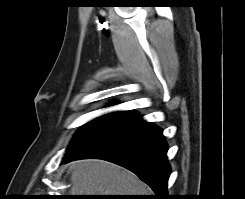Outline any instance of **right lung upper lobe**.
Returning <instances> with one entry per match:
<instances>
[{
  "instance_id": "obj_1",
  "label": "right lung upper lobe",
  "mask_w": 245,
  "mask_h": 199,
  "mask_svg": "<svg viewBox=\"0 0 245 199\" xmlns=\"http://www.w3.org/2000/svg\"><path fill=\"white\" fill-rule=\"evenodd\" d=\"M110 114L124 115L127 118L128 117H131L133 115H136V113L135 112H132V111H118V112H113V113H110Z\"/></svg>"
}]
</instances>
